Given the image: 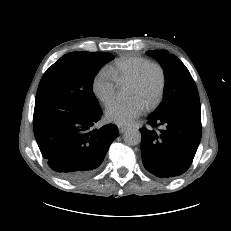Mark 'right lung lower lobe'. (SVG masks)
Segmentation results:
<instances>
[{
    "label": "right lung lower lobe",
    "instance_id": "98d812e1",
    "mask_svg": "<svg viewBox=\"0 0 231 231\" xmlns=\"http://www.w3.org/2000/svg\"><path fill=\"white\" fill-rule=\"evenodd\" d=\"M101 108L89 113L35 106V139L49 167L62 178L75 181L92 175L101 165L119 131L113 124L94 129Z\"/></svg>",
    "mask_w": 231,
    "mask_h": 231
}]
</instances>
